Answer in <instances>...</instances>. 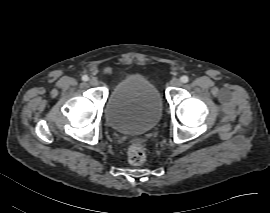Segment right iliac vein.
<instances>
[{"label": "right iliac vein", "mask_w": 270, "mask_h": 213, "mask_svg": "<svg viewBox=\"0 0 270 213\" xmlns=\"http://www.w3.org/2000/svg\"><path fill=\"white\" fill-rule=\"evenodd\" d=\"M89 83L91 86H97L98 85V80L96 78H91L89 80Z\"/></svg>", "instance_id": "obj_1"}]
</instances>
